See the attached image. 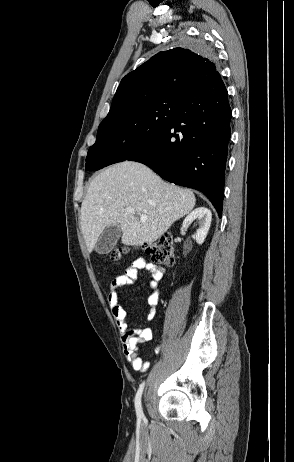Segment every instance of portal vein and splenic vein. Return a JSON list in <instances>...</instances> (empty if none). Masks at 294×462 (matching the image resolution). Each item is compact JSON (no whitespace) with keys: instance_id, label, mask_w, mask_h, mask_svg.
I'll return each instance as SVG.
<instances>
[{"instance_id":"1","label":"portal vein and splenic vein","mask_w":294,"mask_h":462,"mask_svg":"<svg viewBox=\"0 0 294 462\" xmlns=\"http://www.w3.org/2000/svg\"><path fill=\"white\" fill-rule=\"evenodd\" d=\"M126 211L130 214H135L134 208H127ZM141 220H146L147 216L145 214H140Z\"/></svg>"}]
</instances>
